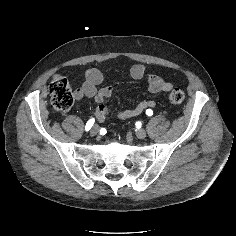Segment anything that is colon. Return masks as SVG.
<instances>
[{"label":"colon","mask_w":236,"mask_h":236,"mask_svg":"<svg viewBox=\"0 0 236 236\" xmlns=\"http://www.w3.org/2000/svg\"><path fill=\"white\" fill-rule=\"evenodd\" d=\"M49 93L53 106L59 111H67L74 102V94L68 80L62 76H55L49 84ZM185 98L184 92L179 88H174L169 100L173 104H180Z\"/></svg>","instance_id":"1"}]
</instances>
